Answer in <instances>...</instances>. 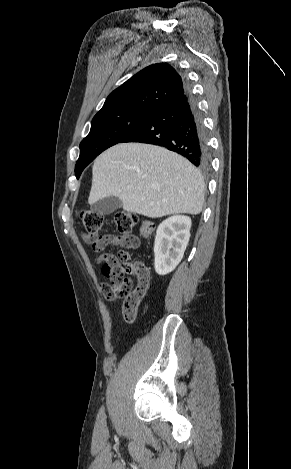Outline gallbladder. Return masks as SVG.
<instances>
[{
	"mask_svg": "<svg viewBox=\"0 0 291 469\" xmlns=\"http://www.w3.org/2000/svg\"><path fill=\"white\" fill-rule=\"evenodd\" d=\"M122 207V202L115 196L98 200L91 206V210L100 215H109Z\"/></svg>",
	"mask_w": 291,
	"mask_h": 469,
	"instance_id": "obj_1",
	"label": "gallbladder"
}]
</instances>
